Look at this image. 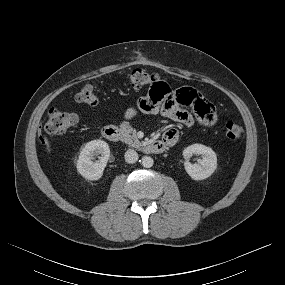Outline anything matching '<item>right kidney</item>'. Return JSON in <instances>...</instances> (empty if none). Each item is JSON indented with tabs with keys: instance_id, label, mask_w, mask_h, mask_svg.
<instances>
[{
	"instance_id": "1",
	"label": "right kidney",
	"mask_w": 285,
	"mask_h": 285,
	"mask_svg": "<svg viewBox=\"0 0 285 285\" xmlns=\"http://www.w3.org/2000/svg\"><path fill=\"white\" fill-rule=\"evenodd\" d=\"M100 155V156H99ZM98 157L99 159L94 161ZM110 157L109 145L102 140H92L82 148L77 160V171L88 180H99Z\"/></svg>"
}]
</instances>
